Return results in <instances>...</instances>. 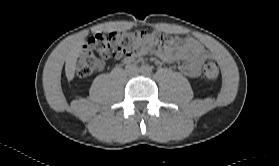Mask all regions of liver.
<instances>
[{
  "instance_id": "liver-1",
  "label": "liver",
  "mask_w": 279,
  "mask_h": 166,
  "mask_svg": "<svg viewBox=\"0 0 279 166\" xmlns=\"http://www.w3.org/2000/svg\"><path fill=\"white\" fill-rule=\"evenodd\" d=\"M83 44H84V39H79L74 43L72 48L67 53L66 63H65V74L68 81H71L74 78L77 59L80 55V51Z\"/></svg>"
}]
</instances>
